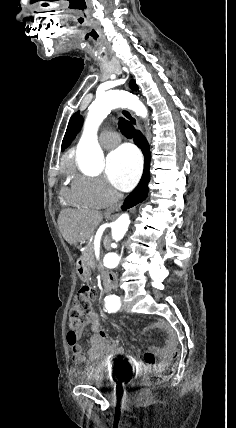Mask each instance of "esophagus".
<instances>
[{
  "label": "esophagus",
  "instance_id": "1",
  "mask_svg": "<svg viewBox=\"0 0 236 428\" xmlns=\"http://www.w3.org/2000/svg\"><path fill=\"white\" fill-rule=\"evenodd\" d=\"M122 115L124 116V118H126V120H128L133 125L134 128H136L137 130H140L141 128L140 124L137 118L133 115V113L130 110L123 109Z\"/></svg>",
  "mask_w": 236,
  "mask_h": 428
}]
</instances>
